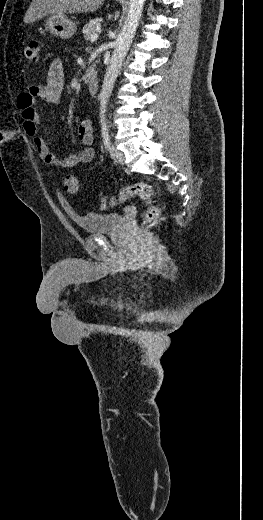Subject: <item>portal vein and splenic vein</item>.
I'll use <instances>...</instances> for the list:
<instances>
[{
  "label": "portal vein and splenic vein",
  "mask_w": 263,
  "mask_h": 520,
  "mask_svg": "<svg viewBox=\"0 0 263 520\" xmlns=\"http://www.w3.org/2000/svg\"><path fill=\"white\" fill-rule=\"evenodd\" d=\"M97 39H98V34L96 33V34H94V35L91 36L90 41H91V42H94V41H96Z\"/></svg>",
  "instance_id": "1"
}]
</instances>
